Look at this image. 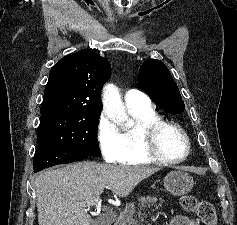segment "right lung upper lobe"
<instances>
[{
	"label": "right lung upper lobe",
	"instance_id": "1",
	"mask_svg": "<svg viewBox=\"0 0 237 225\" xmlns=\"http://www.w3.org/2000/svg\"><path fill=\"white\" fill-rule=\"evenodd\" d=\"M110 75V63L92 51L66 55L51 68L40 120L101 114V88Z\"/></svg>",
	"mask_w": 237,
	"mask_h": 225
}]
</instances>
